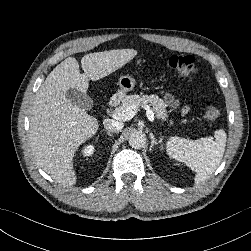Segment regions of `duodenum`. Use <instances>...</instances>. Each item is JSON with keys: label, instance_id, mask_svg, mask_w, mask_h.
I'll return each instance as SVG.
<instances>
[{"label": "duodenum", "instance_id": "duodenum-1", "mask_svg": "<svg viewBox=\"0 0 251 251\" xmlns=\"http://www.w3.org/2000/svg\"><path fill=\"white\" fill-rule=\"evenodd\" d=\"M120 98L118 96H113L109 101V106L114 107L118 104Z\"/></svg>", "mask_w": 251, "mask_h": 251}]
</instances>
